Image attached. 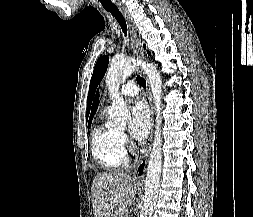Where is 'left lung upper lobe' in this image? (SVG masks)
<instances>
[{
	"instance_id": "left-lung-upper-lobe-1",
	"label": "left lung upper lobe",
	"mask_w": 253,
	"mask_h": 217,
	"mask_svg": "<svg viewBox=\"0 0 253 217\" xmlns=\"http://www.w3.org/2000/svg\"><path fill=\"white\" fill-rule=\"evenodd\" d=\"M148 54L150 55L149 51H148ZM108 63H109V58L108 56L104 55V56H101L95 64L93 75L90 81L89 93H88V98H87V116L90 111V105L92 103V99L94 97L96 87L98 86L100 80L105 75Z\"/></svg>"
}]
</instances>
